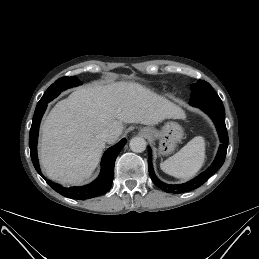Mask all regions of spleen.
Here are the masks:
<instances>
[{"mask_svg": "<svg viewBox=\"0 0 259 259\" xmlns=\"http://www.w3.org/2000/svg\"><path fill=\"white\" fill-rule=\"evenodd\" d=\"M205 161V140L196 136L173 156L160 163V168L168 175L181 179L193 177Z\"/></svg>", "mask_w": 259, "mask_h": 259, "instance_id": "1", "label": "spleen"}]
</instances>
